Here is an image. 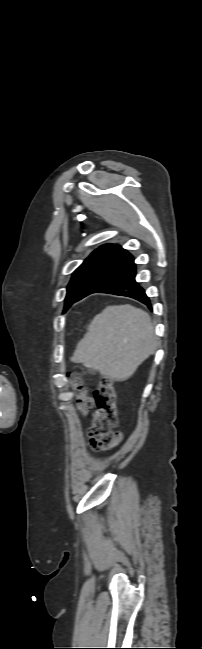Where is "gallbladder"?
<instances>
[{
  "mask_svg": "<svg viewBox=\"0 0 202 649\" xmlns=\"http://www.w3.org/2000/svg\"><path fill=\"white\" fill-rule=\"evenodd\" d=\"M88 371H89L90 373H92V372H93V370H92V369H88Z\"/></svg>",
  "mask_w": 202,
  "mask_h": 649,
  "instance_id": "1",
  "label": "gallbladder"
}]
</instances>
